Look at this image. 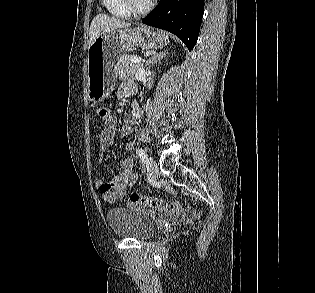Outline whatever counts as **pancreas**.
Returning <instances> with one entry per match:
<instances>
[{"instance_id":"obj_1","label":"pancreas","mask_w":315,"mask_h":293,"mask_svg":"<svg viewBox=\"0 0 315 293\" xmlns=\"http://www.w3.org/2000/svg\"><path fill=\"white\" fill-rule=\"evenodd\" d=\"M133 56L124 55L120 59V65L118 67V77L120 80H126L133 78L136 71L140 67L138 63H131L130 59Z\"/></svg>"}]
</instances>
